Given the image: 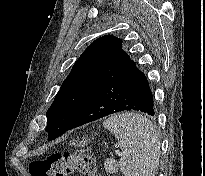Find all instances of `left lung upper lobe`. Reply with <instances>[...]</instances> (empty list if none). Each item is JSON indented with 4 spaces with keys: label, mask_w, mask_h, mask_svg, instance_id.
<instances>
[{
    "label": "left lung upper lobe",
    "mask_w": 205,
    "mask_h": 176,
    "mask_svg": "<svg viewBox=\"0 0 205 176\" xmlns=\"http://www.w3.org/2000/svg\"><path fill=\"white\" fill-rule=\"evenodd\" d=\"M121 45L122 40L115 36L100 37L75 62L47 111L46 132L49 140L65 133L80 108L129 60Z\"/></svg>",
    "instance_id": "1"
}]
</instances>
